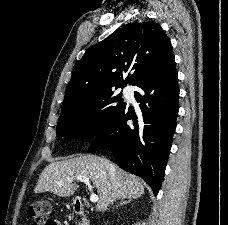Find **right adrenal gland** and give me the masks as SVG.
<instances>
[{"mask_svg": "<svg viewBox=\"0 0 228 225\" xmlns=\"http://www.w3.org/2000/svg\"><path fill=\"white\" fill-rule=\"evenodd\" d=\"M129 201H132V199H128V201H120L119 205H127ZM119 205H115V207H119Z\"/></svg>", "mask_w": 228, "mask_h": 225, "instance_id": "1", "label": "right adrenal gland"}]
</instances>
